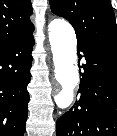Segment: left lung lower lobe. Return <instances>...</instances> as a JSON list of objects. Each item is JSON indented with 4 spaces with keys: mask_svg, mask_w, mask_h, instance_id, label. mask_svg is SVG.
I'll use <instances>...</instances> for the list:
<instances>
[{
    "mask_svg": "<svg viewBox=\"0 0 117 136\" xmlns=\"http://www.w3.org/2000/svg\"><path fill=\"white\" fill-rule=\"evenodd\" d=\"M84 70L75 105L56 123L57 136H117V50L77 41Z\"/></svg>",
    "mask_w": 117,
    "mask_h": 136,
    "instance_id": "left-lung-lower-lobe-1",
    "label": "left lung lower lobe"
}]
</instances>
